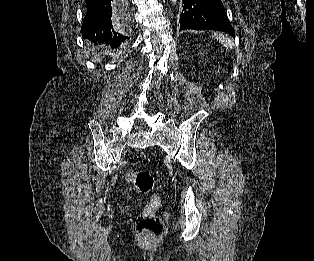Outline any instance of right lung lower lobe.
Wrapping results in <instances>:
<instances>
[{
  "label": "right lung lower lobe",
  "instance_id": "right-lung-lower-lobe-1",
  "mask_svg": "<svg viewBox=\"0 0 314 261\" xmlns=\"http://www.w3.org/2000/svg\"><path fill=\"white\" fill-rule=\"evenodd\" d=\"M87 13L82 24V37L97 44L118 47L126 39L112 21V10L118 0H85Z\"/></svg>",
  "mask_w": 314,
  "mask_h": 261
}]
</instances>
